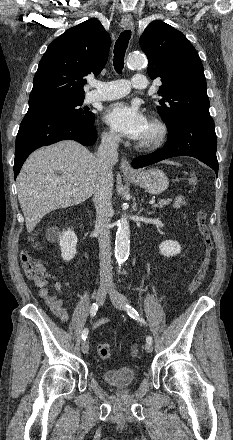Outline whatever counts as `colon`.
<instances>
[{
	"instance_id": "obj_1",
	"label": "colon",
	"mask_w": 233,
	"mask_h": 440,
	"mask_svg": "<svg viewBox=\"0 0 233 440\" xmlns=\"http://www.w3.org/2000/svg\"><path fill=\"white\" fill-rule=\"evenodd\" d=\"M188 181L191 185L196 186L199 184V176L196 173H191L189 175ZM197 223L200 234L202 236L205 255L199 269L197 270V272L195 273V275L193 276L192 280L189 283L188 291L190 293L196 291L203 283L210 265L211 254L214 248L211 233L207 225V214L204 210H200L198 212ZM20 260L22 263L24 273L28 279L38 284H42L45 282L46 272L43 265L40 262L34 260L27 251H23L21 253ZM97 352L102 359H110L112 357V348L108 343L98 344ZM132 355L133 356L138 355L137 348H134L132 350Z\"/></svg>"
}]
</instances>
